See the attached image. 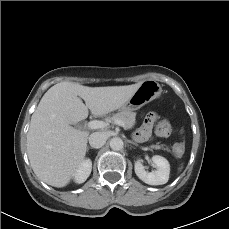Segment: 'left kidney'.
Wrapping results in <instances>:
<instances>
[{
  "instance_id": "1",
  "label": "left kidney",
  "mask_w": 229,
  "mask_h": 229,
  "mask_svg": "<svg viewBox=\"0 0 229 229\" xmlns=\"http://www.w3.org/2000/svg\"><path fill=\"white\" fill-rule=\"evenodd\" d=\"M152 161L156 167L155 171L147 172L140 160L134 164L136 175L143 182L149 185H162L168 182L170 174V164L167 159L162 156L155 155Z\"/></svg>"
}]
</instances>
